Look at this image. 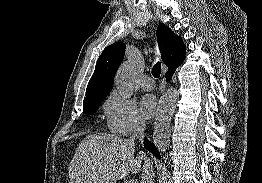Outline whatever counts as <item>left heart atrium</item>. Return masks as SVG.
Returning <instances> with one entry per match:
<instances>
[{
  "mask_svg": "<svg viewBox=\"0 0 262 183\" xmlns=\"http://www.w3.org/2000/svg\"><path fill=\"white\" fill-rule=\"evenodd\" d=\"M156 107H157V102H156V98L153 95L147 94L141 98L140 111L145 118L147 119L151 118L155 113Z\"/></svg>",
  "mask_w": 262,
  "mask_h": 183,
  "instance_id": "1",
  "label": "left heart atrium"
}]
</instances>
